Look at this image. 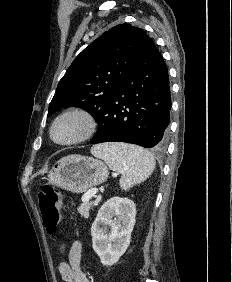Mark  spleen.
Listing matches in <instances>:
<instances>
[{
	"instance_id": "3e777b00",
	"label": "spleen",
	"mask_w": 232,
	"mask_h": 282,
	"mask_svg": "<svg viewBox=\"0 0 232 282\" xmlns=\"http://www.w3.org/2000/svg\"><path fill=\"white\" fill-rule=\"evenodd\" d=\"M91 153L103 159L112 170L122 173L120 187L124 190L146 180L156 165L149 151L129 144L98 145L91 149Z\"/></svg>"
}]
</instances>
